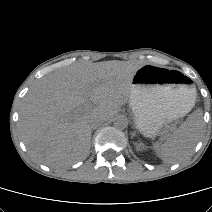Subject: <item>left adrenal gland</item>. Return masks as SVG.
Instances as JSON below:
<instances>
[{
    "label": "left adrenal gland",
    "mask_w": 212,
    "mask_h": 212,
    "mask_svg": "<svg viewBox=\"0 0 212 212\" xmlns=\"http://www.w3.org/2000/svg\"><path fill=\"white\" fill-rule=\"evenodd\" d=\"M136 133L135 132H132V136H134Z\"/></svg>",
    "instance_id": "left-adrenal-gland-1"
}]
</instances>
